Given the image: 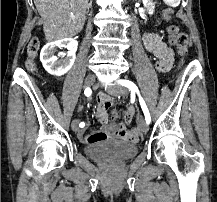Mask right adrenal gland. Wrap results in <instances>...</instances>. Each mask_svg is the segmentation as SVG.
Returning <instances> with one entry per match:
<instances>
[{"label": "right adrenal gland", "mask_w": 217, "mask_h": 202, "mask_svg": "<svg viewBox=\"0 0 217 202\" xmlns=\"http://www.w3.org/2000/svg\"><path fill=\"white\" fill-rule=\"evenodd\" d=\"M91 6H92V0H90L89 4H88V6H87V14H88V12H89Z\"/></svg>", "instance_id": "2a0ac1e0"}]
</instances>
